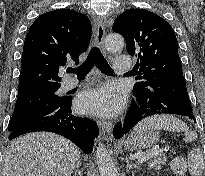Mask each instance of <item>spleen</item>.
I'll list each match as a JSON object with an SVG mask.
<instances>
[{
	"label": "spleen",
	"mask_w": 205,
	"mask_h": 176,
	"mask_svg": "<svg viewBox=\"0 0 205 176\" xmlns=\"http://www.w3.org/2000/svg\"><path fill=\"white\" fill-rule=\"evenodd\" d=\"M163 129L173 132H184L185 142L197 139V133L191 131L189 127L177 117L172 115H154L139 122L134 130ZM205 166L204 157L200 149H194L188 154V170L192 176H201Z\"/></svg>",
	"instance_id": "1"
}]
</instances>
